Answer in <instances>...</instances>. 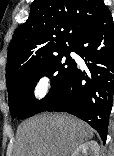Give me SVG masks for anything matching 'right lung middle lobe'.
Segmentation results:
<instances>
[{
    "instance_id": "1",
    "label": "right lung middle lobe",
    "mask_w": 114,
    "mask_h": 156,
    "mask_svg": "<svg viewBox=\"0 0 114 156\" xmlns=\"http://www.w3.org/2000/svg\"><path fill=\"white\" fill-rule=\"evenodd\" d=\"M71 51L73 49L46 60L13 80L8 87L9 108L13 115L31 117L44 111L58 98L76 67L75 60L70 57ZM42 76L51 79V90L44 99L38 101L34 98L33 89Z\"/></svg>"
}]
</instances>
